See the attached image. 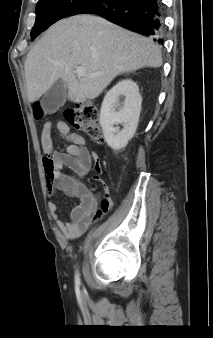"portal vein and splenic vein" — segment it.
Returning a JSON list of instances; mask_svg holds the SVG:
<instances>
[{
	"mask_svg": "<svg viewBox=\"0 0 213 338\" xmlns=\"http://www.w3.org/2000/svg\"><path fill=\"white\" fill-rule=\"evenodd\" d=\"M75 73L77 74L78 77H82V76H89V77H94L95 74H86L85 70L83 67H77L75 70Z\"/></svg>",
	"mask_w": 213,
	"mask_h": 338,
	"instance_id": "portal-vein-and-splenic-vein-1",
	"label": "portal vein and splenic vein"
}]
</instances>
